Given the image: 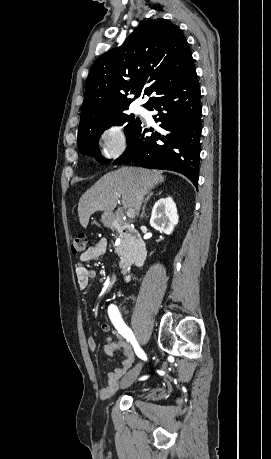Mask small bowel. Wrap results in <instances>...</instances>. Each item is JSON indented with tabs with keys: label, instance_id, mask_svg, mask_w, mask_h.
I'll use <instances>...</instances> for the list:
<instances>
[{
	"label": "small bowel",
	"instance_id": "obj_1",
	"mask_svg": "<svg viewBox=\"0 0 271 459\" xmlns=\"http://www.w3.org/2000/svg\"><path fill=\"white\" fill-rule=\"evenodd\" d=\"M108 248V241L105 238H100L95 244L80 255L79 263L76 266V276L78 287L85 290L91 279L96 275L94 270L89 269L85 264L102 257ZM103 332H109L111 326L104 322L101 324ZM88 348L91 351L97 349V341L93 337L87 340ZM104 353L108 357H112L115 353H121L123 360L120 366L111 371L107 376L106 384L100 388L99 396L102 399L110 398L119 388L120 382L131 372V367L134 363V353L130 345L125 341L124 337L117 331H113L112 337L109 338L104 347Z\"/></svg>",
	"mask_w": 271,
	"mask_h": 459
}]
</instances>
